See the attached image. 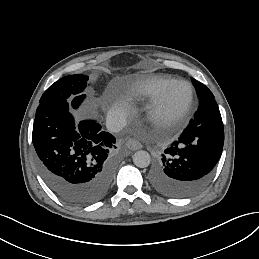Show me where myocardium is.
Here are the masks:
<instances>
[{
  "instance_id": "1",
  "label": "myocardium",
  "mask_w": 259,
  "mask_h": 259,
  "mask_svg": "<svg viewBox=\"0 0 259 259\" xmlns=\"http://www.w3.org/2000/svg\"><path fill=\"white\" fill-rule=\"evenodd\" d=\"M154 78L156 79L157 81L159 82H162V83H165V82H174V81H183L184 83H186L190 89V92H191V97H190V100L189 102L187 103V105L182 109L180 110L176 115H174L173 117L165 120V122H167L170 126L172 127H177L179 124H181L190 114L191 112L193 111V109L195 108L196 106V102H197V92H196V88L195 86L193 85V83L187 79H184L180 76H175V75H172L168 78H162L158 75H148L146 78H143V79H139L143 84H145L146 80L148 78ZM145 100L147 102V104L151 107H153L155 109V104L153 101H151L149 99V96L146 94L145 96Z\"/></svg>"
}]
</instances>
